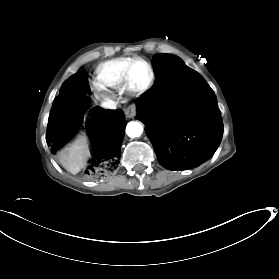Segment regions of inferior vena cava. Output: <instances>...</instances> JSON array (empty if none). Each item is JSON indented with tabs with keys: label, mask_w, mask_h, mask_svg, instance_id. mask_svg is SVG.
Returning <instances> with one entry per match:
<instances>
[{
	"label": "inferior vena cava",
	"mask_w": 279,
	"mask_h": 279,
	"mask_svg": "<svg viewBox=\"0 0 279 279\" xmlns=\"http://www.w3.org/2000/svg\"><path fill=\"white\" fill-rule=\"evenodd\" d=\"M102 107L109 108V109H116L117 102L115 103L114 101H108L105 99L104 103L102 104Z\"/></svg>",
	"instance_id": "1"
}]
</instances>
